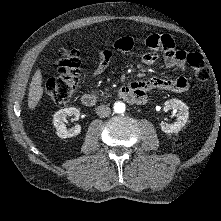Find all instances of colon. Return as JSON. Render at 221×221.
<instances>
[{"label":"colon","instance_id":"5ec220e1","mask_svg":"<svg viewBox=\"0 0 221 221\" xmlns=\"http://www.w3.org/2000/svg\"><path fill=\"white\" fill-rule=\"evenodd\" d=\"M195 78L204 83L209 78V69L200 53L186 55ZM80 54L72 47H61L57 52L58 75L50 78L44 85L45 94L57 105H65L74 96L80 76Z\"/></svg>","mask_w":221,"mask_h":221}]
</instances>
